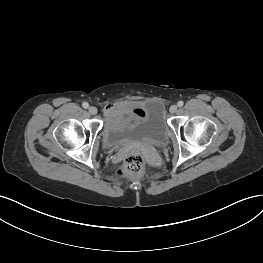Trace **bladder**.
Instances as JSON below:
<instances>
[{"mask_svg": "<svg viewBox=\"0 0 263 263\" xmlns=\"http://www.w3.org/2000/svg\"><path fill=\"white\" fill-rule=\"evenodd\" d=\"M166 136L167 125L158 101L122 104L111 113L103 131V140L108 145L130 140L159 144Z\"/></svg>", "mask_w": 263, "mask_h": 263, "instance_id": "1", "label": "bladder"}]
</instances>
